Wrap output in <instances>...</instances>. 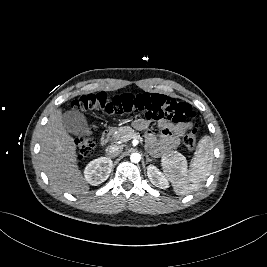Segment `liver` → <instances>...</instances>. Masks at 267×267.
Instances as JSON below:
<instances>
[{"label":"liver","instance_id":"obj_1","mask_svg":"<svg viewBox=\"0 0 267 267\" xmlns=\"http://www.w3.org/2000/svg\"><path fill=\"white\" fill-rule=\"evenodd\" d=\"M40 163L57 189L82 194L89 190L78 167L76 145L62 124L61 110L50 115L40 142Z\"/></svg>","mask_w":267,"mask_h":267}]
</instances>
